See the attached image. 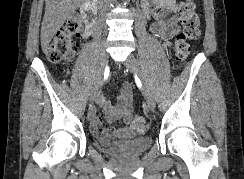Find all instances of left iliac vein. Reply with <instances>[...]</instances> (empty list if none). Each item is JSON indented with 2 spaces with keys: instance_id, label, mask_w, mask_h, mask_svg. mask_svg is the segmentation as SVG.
<instances>
[{
  "instance_id": "4c4485c4",
  "label": "left iliac vein",
  "mask_w": 244,
  "mask_h": 179,
  "mask_svg": "<svg viewBox=\"0 0 244 179\" xmlns=\"http://www.w3.org/2000/svg\"><path fill=\"white\" fill-rule=\"evenodd\" d=\"M124 64L139 78L142 80L143 85V96L145 98V102L147 104V107L150 111H154L155 109V96L153 93V90L148 82V80L145 78L142 70L140 69L139 62L136 60V58L133 55H129L128 58L125 60Z\"/></svg>"
}]
</instances>
